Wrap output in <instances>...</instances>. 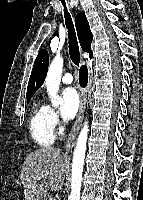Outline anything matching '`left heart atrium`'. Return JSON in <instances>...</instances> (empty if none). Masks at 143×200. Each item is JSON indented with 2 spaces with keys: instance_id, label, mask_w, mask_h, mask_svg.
<instances>
[{
  "instance_id": "39dd6f15",
  "label": "left heart atrium",
  "mask_w": 143,
  "mask_h": 200,
  "mask_svg": "<svg viewBox=\"0 0 143 200\" xmlns=\"http://www.w3.org/2000/svg\"><path fill=\"white\" fill-rule=\"evenodd\" d=\"M79 104V96L74 88L69 87L62 91L60 113L65 120H71L76 115Z\"/></svg>"
}]
</instances>
